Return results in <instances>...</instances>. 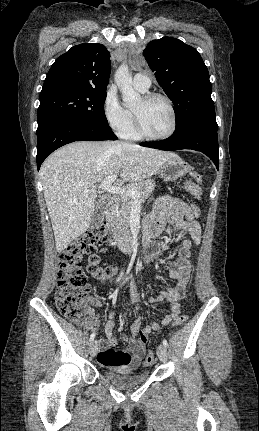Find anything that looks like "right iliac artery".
<instances>
[{
	"label": "right iliac artery",
	"instance_id": "82829eb1",
	"mask_svg": "<svg viewBox=\"0 0 259 431\" xmlns=\"http://www.w3.org/2000/svg\"><path fill=\"white\" fill-rule=\"evenodd\" d=\"M123 273H124V271L122 270V271H121V273H120V275H119V277H118L117 282H119V281H120V279H121V278H122V276H123ZM94 338H95V333H92V334L90 335V342H92V341L94 340Z\"/></svg>",
	"mask_w": 259,
	"mask_h": 431
}]
</instances>
